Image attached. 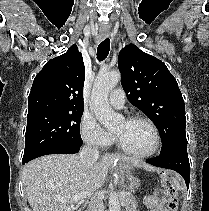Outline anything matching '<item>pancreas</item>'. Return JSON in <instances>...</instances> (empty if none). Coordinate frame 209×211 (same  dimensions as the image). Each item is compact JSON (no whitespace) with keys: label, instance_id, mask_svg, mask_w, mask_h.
Returning <instances> with one entry per match:
<instances>
[{"label":"pancreas","instance_id":"1","mask_svg":"<svg viewBox=\"0 0 209 211\" xmlns=\"http://www.w3.org/2000/svg\"><path fill=\"white\" fill-rule=\"evenodd\" d=\"M125 193V196L122 198L125 202V211H138L137 202L132 192L126 191Z\"/></svg>","mask_w":209,"mask_h":211}]
</instances>
